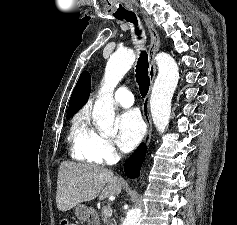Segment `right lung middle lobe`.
I'll list each match as a JSON object with an SVG mask.
<instances>
[{"label":"right lung middle lobe","mask_w":237,"mask_h":225,"mask_svg":"<svg viewBox=\"0 0 237 225\" xmlns=\"http://www.w3.org/2000/svg\"><path fill=\"white\" fill-rule=\"evenodd\" d=\"M72 116H73V115H68V116H66V118L69 119V118H71Z\"/></svg>","instance_id":"dd1d6c3e"}]
</instances>
